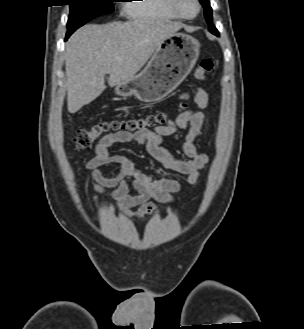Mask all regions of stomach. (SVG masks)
Wrapping results in <instances>:
<instances>
[{
	"mask_svg": "<svg viewBox=\"0 0 304 329\" xmlns=\"http://www.w3.org/2000/svg\"><path fill=\"white\" fill-rule=\"evenodd\" d=\"M199 42L185 33H175L157 47L147 66L133 79L115 87V93L134 95L145 103L162 100L187 77L199 56Z\"/></svg>",
	"mask_w": 304,
	"mask_h": 329,
	"instance_id": "stomach-1",
	"label": "stomach"
}]
</instances>
